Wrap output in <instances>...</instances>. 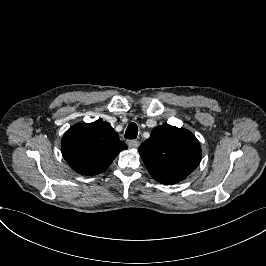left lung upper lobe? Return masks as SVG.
Listing matches in <instances>:
<instances>
[{
  "label": "left lung upper lobe",
  "mask_w": 266,
  "mask_h": 266,
  "mask_svg": "<svg viewBox=\"0 0 266 266\" xmlns=\"http://www.w3.org/2000/svg\"><path fill=\"white\" fill-rule=\"evenodd\" d=\"M138 151L151 176L163 184L184 180L199 165L202 155L191 132L171 125L155 127Z\"/></svg>",
  "instance_id": "1"
}]
</instances>
